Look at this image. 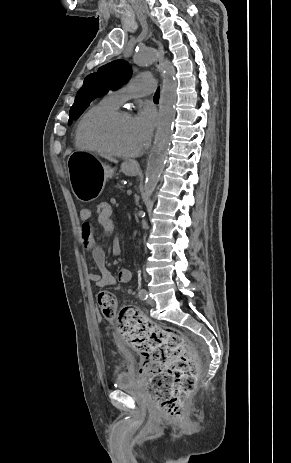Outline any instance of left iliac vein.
I'll return each mask as SVG.
<instances>
[{"instance_id":"4c4485c4","label":"left iliac vein","mask_w":291,"mask_h":463,"mask_svg":"<svg viewBox=\"0 0 291 463\" xmlns=\"http://www.w3.org/2000/svg\"><path fill=\"white\" fill-rule=\"evenodd\" d=\"M146 302H147V304H149L151 306L155 304V301L151 297H148Z\"/></svg>"}]
</instances>
